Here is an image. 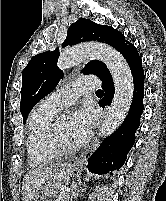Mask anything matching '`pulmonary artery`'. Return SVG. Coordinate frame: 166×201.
<instances>
[{"mask_svg":"<svg viewBox=\"0 0 166 201\" xmlns=\"http://www.w3.org/2000/svg\"><path fill=\"white\" fill-rule=\"evenodd\" d=\"M100 86L96 78L76 79L45 98L42 105L57 112L74 103L82 93Z\"/></svg>","mask_w":166,"mask_h":201,"instance_id":"pulmonary-artery-1","label":"pulmonary artery"}]
</instances>
